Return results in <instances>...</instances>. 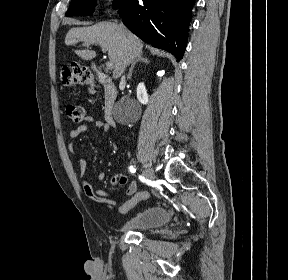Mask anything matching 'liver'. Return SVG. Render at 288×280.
Returning a JSON list of instances; mask_svg holds the SVG:
<instances>
[{
	"instance_id": "1",
	"label": "liver",
	"mask_w": 288,
	"mask_h": 280,
	"mask_svg": "<svg viewBox=\"0 0 288 280\" xmlns=\"http://www.w3.org/2000/svg\"><path fill=\"white\" fill-rule=\"evenodd\" d=\"M78 42L104 46L113 64V79H118L126 66L142 54L141 40L124 26L112 22H100L89 27L71 28L65 37V44L75 45ZM76 54L84 60L96 56L95 51L76 50Z\"/></svg>"
}]
</instances>
